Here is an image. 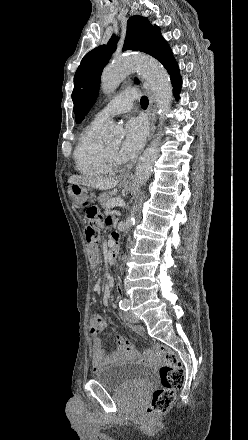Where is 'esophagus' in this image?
<instances>
[{"mask_svg": "<svg viewBox=\"0 0 248 440\" xmlns=\"http://www.w3.org/2000/svg\"><path fill=\"white\" fill-rule=\"evenodd\" d=\"M144 88L148 94V98H149V107H148V117H149V124H150V134H149V140L152 138L154 131H155V121H156V117H155V107H156V102H155V97L154 94L152 92V89L150 87V85L147 82L143 83ZM129 176L126 175L125 179L128 178Z\"/></svg>", "mask_w": 248, "mask_h": 440, "instance_id": "34e87169", "label": "esophagus"}]
</instances>
